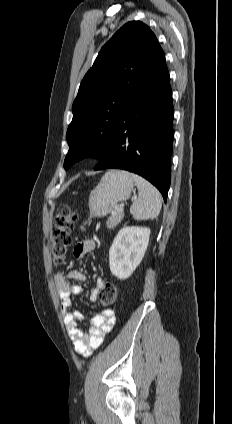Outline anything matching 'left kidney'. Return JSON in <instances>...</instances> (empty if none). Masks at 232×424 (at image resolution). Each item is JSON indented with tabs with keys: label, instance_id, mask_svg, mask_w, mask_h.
<instances>
[{
	"label": "left kidney",
	"instance_id": "5707ae66",
	"mask_svg": "<svg viewBox=\"0 0 232 424\" xmlns=\"http://www.w3.org/2000/svg\"><path fill=\"white\" fill-rule=\"evenodd\" d=\"M150 229L146 227H123L109 250L111 273L118 279L129 278L142 261L149 243Z\"/></svg>",
	"mask_w": 232,
	"mask_h": 424
}]
</instances>
